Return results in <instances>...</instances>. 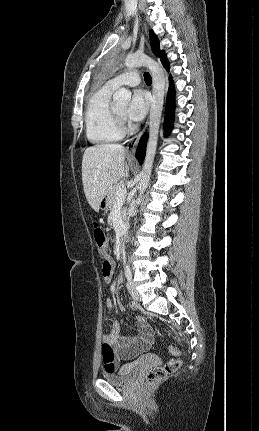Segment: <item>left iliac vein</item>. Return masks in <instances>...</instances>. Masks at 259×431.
<instances>
[{
	"label": "left iliac vein",
	"mask_w": 259,
	"mask_h": 431,
	"mask_svg": "<svg viewBox=\"0 0 259 431\" xmlns=\"http://www.w3.org/2000/svg\"><path fill=\"white\" fill-rule=\"evenodd\" d=\"M127 289L131 295V297L136 301H141L142 297L140 292L136 289L135 285L132 283L131 280H128L127 282Z\"/></svg>",
	"instance_id": "obj_1"
}]
</instances>
